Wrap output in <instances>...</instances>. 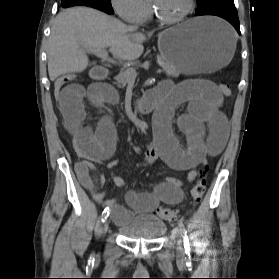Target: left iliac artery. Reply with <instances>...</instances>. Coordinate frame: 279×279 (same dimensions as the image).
Returning <instances> with one entry per match:
<instances>
[{
  "instance_id": "1",
  "label": "left iliac artery",
  "mask_w": 279,
  "mask_h": 279,
  "mask_svg": "<svg viewBox=\"0 0 279 279\" xmlns=\"http://www.w3.org/2000/svg\"><path fill=\"white\" fill-rule=\"evenodd\" d=\"M179 227L182 231V236H183V240H184L185 249H186V251L189 252L190 244H189V238H188V235H187V231H186L185 226L182 222H179Z\"/></svg>"
}]
</instances>
